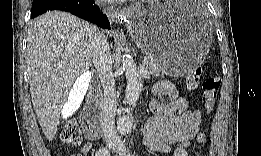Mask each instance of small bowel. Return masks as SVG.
<instances>
[{
    "label": "small bowel",
    "instance_id": "obj_1",
    "mask_svg": "<svg viewBox=\"0 0 261 156\" xmlns=\"http://www.w3.org/2000/svg\"><path fill=\"white\" fill-rule=\"evenodd\" d=\"M153 93L157 97L167 96L169 104L163 105L156 99L151 102L153 116L146 124V145L164 154L170 152L171 145H175L174 156H187L190 142L199 131L201 112L189 109L187 101L179 97L170 82L156 83ZM91 148L90 142L84 144L82 154L87 155Z\"/></svg>",
    "mask_w": 261,
    "mask_h": 156
}]
</instances>
